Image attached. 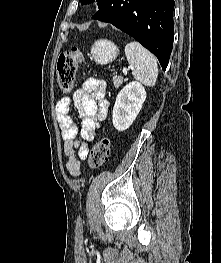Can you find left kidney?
<instances>
[{
	"instance_id": "5707ae66",
	"label": "left kidney",
	"mask_w": 221,
	"mask_h": 263,
	"mask_svg": "<svg viewBox=\"0 0 221 263\" xmlns=\"http://www.w3.org/2000/svg\"><path fill=\"white\" fill-rule=\"evenodd\" d=\"M146 99V91L141 83L132 81L117 95L113 107L112 122L115 129L125 131L139 114Z\"/></svg>"
}]
</instances>
